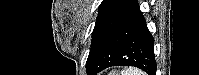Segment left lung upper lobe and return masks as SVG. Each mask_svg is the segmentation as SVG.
<instances>
[{"instance_id":"5c2ea615","label":"left lung upper lobe","mask_w":199,"mask_h":75,"mask_svg":"<svg viewBox=\"0 0 199 75\" xmlns=\"http://www.w3.org/2000/svg\"><path fill=\"white\" fill-rule=\"evenodd\" d=\"M121 1L122 0H103L102 3L100 4L99 14L97 16L96 24L92 33L91 48H90L88 59L99 40V37L102 33L104 26L106 25L108 19L113 14V12L118 7ZM88 59H87V62H88Z\"/></svg>"}]
</instances>
